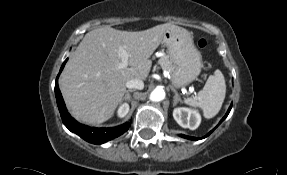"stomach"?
<instances>
[{
    "label": "stomach",
    "mask_w": 287,
    "mask_h": 175,
    "mask_svg": "<svg viewBox=\"0 0 287 175\" xmlns=\"http://www.w3.org/2000/svg\"><path fill=\"white\" fill-rule=\"evenodd\" d=\"M170 60L175 68L171 72V82L176 88L194 81L201 72L202 58L194 45L193 36L186 29L171 27L163 35Z\"/></svg>",
    "instance_id": "obj_1"
}]
</instances>
